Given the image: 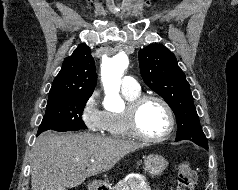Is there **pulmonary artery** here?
I'll return each mask as SVG.
<instances>
[{
    "instance_id": "e3ab8cb5",
    "label": "pulmonary artery",
    "mask_w": 238,
    "mask_h": 190,
    "mask_svg": "<svg viewBox=\"0 0 238 190\" xmlns=\"http://www.w3.org/2000/svg\"><path fill=\"white\" fill-rule=\"evenodd\" d=\"M122 90L127 92H138L140 91V85L135 78L132 76H125L122 79Z\"/></svg>"
}]
</instances>
